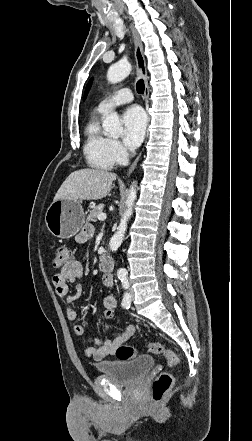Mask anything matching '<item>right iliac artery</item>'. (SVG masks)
Masks as SVG:
<instances>
[{"mask_svg": "<svg viewBox=\"0 0 252 441\" xmlns=\"http://www.w3.org/2000/svg\"><path fill=\"white\" fill-rule=\"evenodd\" d=\"M120 280H121V282H122V286H123V288H124V289H128V288H129L128 280H126V279H124V278H121ZM130 305H131V296H130V293L125 292L124 297H123V300H122V306H123L124 308H126V309H129V308H130Z\"/></svg>", "mask_w": 252, "mask_h": 441, "instance_id": "1", "label": "right iliac artery"}]
</instances>
